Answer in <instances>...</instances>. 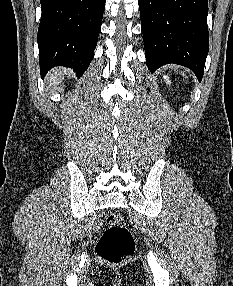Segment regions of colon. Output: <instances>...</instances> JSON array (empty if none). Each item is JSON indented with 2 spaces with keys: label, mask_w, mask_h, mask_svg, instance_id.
I'll return each mask as SVG.
<instances>
[{
  "label": "colon",
  "mask_w": 233,
  "mask_h": 286,
  "mask_svg": "<svg viewBox=\"0 0 233 286\" xmlns=\"http://www.w3.org/2000/svg\"><path fill=\"white\" fill-rule=\"evenodd\" d=\"M135 243L130 230L124 225L120 213H111L107 217V227L96 246L98 257L112 265L127 260L134 252Z\"/></svg>",
  "instance_id": "colon-1"
}]
</instances>
